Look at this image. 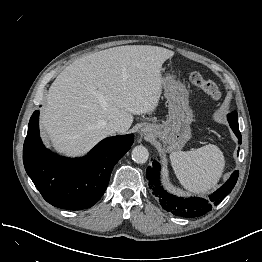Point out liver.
I'll return each instance as SVG.
<instances>
[{"mask_svg":"<svg viewBox=\"0 0 262 262\" xmlns=\"http://www.w3.org/2000/svg\"><path fill=\"white\" fill-rule=\"evenodd\" d=\"M173 55L163 47L127 45L67 66L49 88L41 111L52 146L67 155L84 154L110 134L108 122L118 121L127 131L133 115L153 112L162 91V64Z\"/></svg>","mask_w":262,"mask_h":262,"instance_id":"obj_1","label":"liver"}]
</instances>
